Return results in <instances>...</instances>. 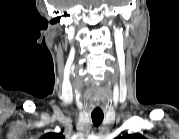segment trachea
I'll return each instance as SVG.
<instances>
[{
	"instance_id": "3493384b",
	"label": "trachea",
	"mask_w": 179,
	"mask_h": 139,
	"mask_svg": "<svg viewBox=\"0 0 179 139\" xmlns=\"http://www.w3.org/2000/svg\"><path fill=\"white\" fill-rule=\"evenodd\" d=\"M92 122L95 126H98L102 123L104 114L102 111H93L91 113Z\"/></svg>"
}]
</instances>
